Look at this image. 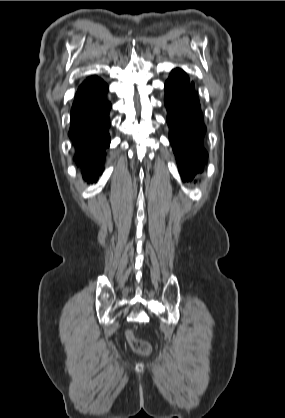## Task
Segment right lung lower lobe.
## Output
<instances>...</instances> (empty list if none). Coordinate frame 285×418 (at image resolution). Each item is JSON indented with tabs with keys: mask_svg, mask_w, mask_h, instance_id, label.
Returning a JSON list of instances; mask_svg holds the SVG:
<instances>
[{
	"mask_svg": "<svg viewBox=\"0 0 285 418\" xmlns=\"http://www.w3.org/2000/svg\"><path fill=\"white\" fill-rule=\"evenodd\" d=\"M108 85L97 76L87 78L75 94L68 136L73 142L74 161L83 178L96 182L104 169L106 149L110 145Z\"/></svg>",
	"mask_w": 285,
	"mask_h": 418,
	"instance_id": "right-lung-lower-lobe-1",
	"label": "right lung lower lobe"
}]
</instances>
